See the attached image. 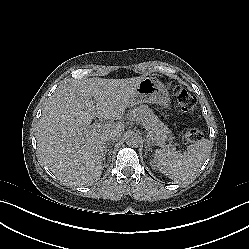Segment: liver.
<instances>
[{
  "label": "liver",
  "instance_id": "6515ba94",
  "mask_svg": "<svg viewBox=\"0 0 249 249\" xmlns=\"http://www.w3.org/2000/svg\"><path fill=\"white\" fill-rule=\"evenodd\" d=\"M140 81L89 79L59 90L38 124L37 147L44 163L53 171L74 174L81 183L98 180L104 167L103 137L111 132L122 134V115L132 104L133 89ZM97 116L111 122L91 125Z\"/></svg>",
  "mask_w": 249,
  "mask_h": 249
}]
</instances>
